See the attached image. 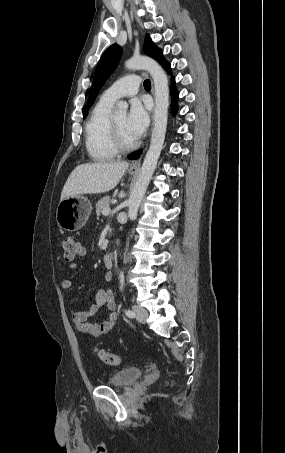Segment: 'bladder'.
Wrapping results in <instances>:
<instances>
[{"label":"bladder","instance_id":"31cf9c89","mask_svg":"<svg viewBox=\"0 0 285 453\" xmlns=\"http://www.w3.org/2000/svg\"><path fill=\"white\" fill-rule=\"evenodd\" d=\"M143 375L139 367H128L113 372L107 379V384L114 387H126L135 383Z\"/></svg>","mask_w":285,"mask_h":453}]
</instances>
